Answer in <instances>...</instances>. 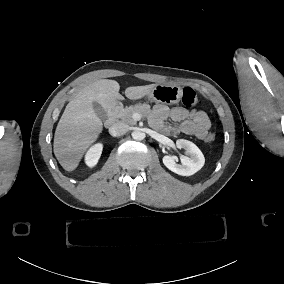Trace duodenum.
<instances>
[{
	"instance_id": "410a0bca",
	"label": "duodenum",
	"mask_w": 284,
	"mask_h": 284,
	"mask_svg": "<svg viewBox=\"0 0 284 284\" xmlns=\"http://www.w3.org/2000/svg\"><path fill=\"white\" fill-rule=\"evenodd\" d=\"M120 106L118 104H115L112 109L107 113L105 124L108 127H111L115 124L117 118H118V112H119Z\"/></svg>"
}]
</instances>
